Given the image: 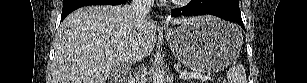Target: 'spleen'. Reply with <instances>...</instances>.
<instances>
[{
	"label": "spleen",
	"mask_w": 307,
	"mask_h": 83,
	"mask_svg": "<svg viewBox=\"0 0 307 83\" xmlns=\"http://www.w3.org/2000/svg\"><path fill=\"white\" fill-rule=\"evenodd\" d=\"M228 83H247L245 68L242 64H237L227 72Z\"/></svg>",
	"instance_id": "1"
}]
</instances>
